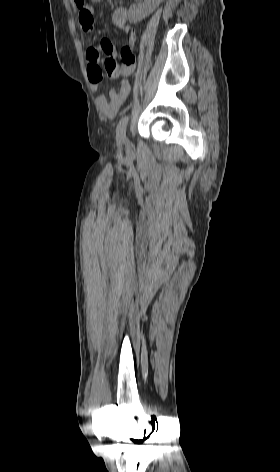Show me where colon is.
<instances>
[{"mask_svg":"<svg viewBox=\"0 0 280 472\" xmlns=\"http://www.w3.org/2000/svg\"><path fill=\"white\" fill-rule=\"evenodd\" d=\"M120 57L122 59L123 64L125 65H134L135 64V56L132 50V45L127 44L122 47L120 51ZM118 64L114 60H105L104 62V69L108 77L116 79L119 77V70Z\"/></svg>","mask_w":280,"mask_h":472,"instance_id":"colon-1","label":"colon"}]
</instances>
